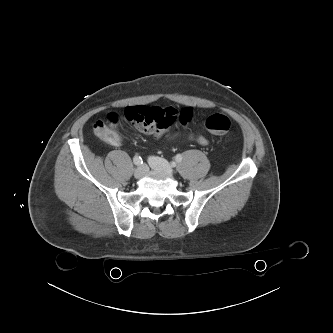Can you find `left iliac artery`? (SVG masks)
I'll return each instance as SVG.
<instances>
[{
	"mask_svg": "<svg viewBox=\"0 0 333 333\" xmlns=\"http://www.w3.org/2000/svg\"><path fill=\"white\" fill-rule=\"evenodd\" d=\"M175 161H176V163H180L182 161V155L181 154H177L175 156ZM172 165L175 166V162H173Z\"/></svg>",
	"mask_w": 333,
	"mask_h": 333,
	"instance_id": "44dca946",
	"label": "left iliac artery"
}]
</instances>
